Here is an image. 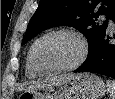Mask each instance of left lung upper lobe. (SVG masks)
<instances>
[{
  "label": "left lung upper lobe",
  "instance_id": "left-lung-upper-lobe-1",
  "mask_svg": "<svg viewBox=\"0 0 115 99\" xmlns=\"http://www.w3.org/2000/svg\"><path fill=\"white\" fill-rule=\"evenodd\" d=\"M99 15L115 16V0H40L31 18L22 45L43 30L55 26H72L85 35L91 54L104 37L106 20L98 23Z\"/></svg>",
  "mask_w": 115,
  "mask_h": 99
}]
</instances>
